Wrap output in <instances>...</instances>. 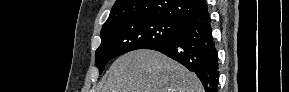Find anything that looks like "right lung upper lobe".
<instances>
[{
	"label": "right lung upper lobe",
	"mask_w": 289,
	"mask_h": 92,
	"mask_svg": "<svg viewBox=\"0 0 289 92\" xmlns=\"http://www.w3.org/2000/svg\"><path fill=\"white\" fill-rule=\"evenodd\" d=\"M207 11L205 0H117L103 27L141 17H156L184 24Z\"/></svg>",
	"instance_id": "1"
}]
</instances>
